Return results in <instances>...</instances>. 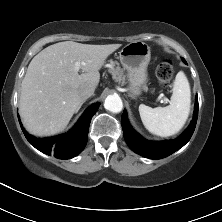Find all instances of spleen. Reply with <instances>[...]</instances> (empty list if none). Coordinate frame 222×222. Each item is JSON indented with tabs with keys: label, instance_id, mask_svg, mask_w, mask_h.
I'll return each instance as SVG.
<instances>
[{
	"label": "spleen",
	"instance_id": "3e777b00",
	"mask_svg": "<svg viewBox=\"0 0 222 222\" xmlns=\"http://www.w3.org/2000/svg\"><path fill=\"white\" fill-rule=\"evenodd\" d=\"M170 105L151 108L144 104L139 106V113L145 128L161 137L178 133L186 123L191 103L189 82L185 74L177 73L172 89Z\"/></svg>",
	"mask_w": 222,
	"mask_h": 222
}]
</instances>
